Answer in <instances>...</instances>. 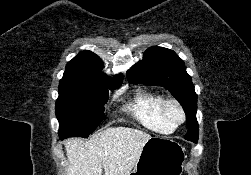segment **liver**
Here are the masks:
<instances>
[{
	"instance_id": "liver-1",
	"label": "liver",
	"mask_w": 251,
	"mask_h": 175,
	"mask_svg": "<svg viewBox=\"0 0 251 175\" xmlns=\"http://www.w3.org/2000/svg\"><path fill=\"white\" fill-rule=\"evenodd\" d=\"M151 135L132 127H107L88 141H64L70 163L67 175H129ZM103 167V169H102Z\"/></svg>"
}]
</instances>
